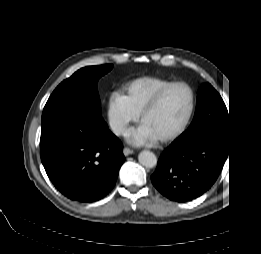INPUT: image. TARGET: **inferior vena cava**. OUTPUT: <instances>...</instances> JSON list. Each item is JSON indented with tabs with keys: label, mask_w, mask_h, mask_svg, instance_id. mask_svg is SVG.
Returning a JSON list of instances; mask_svg holds the SVG:
<instances>
[{
	"label": "inferior vena cava",
	"mask_w": 261,
	"mask_h": 254,
	"mask_svg": "<svg viewBox=\"0 0 261 254\" xmlns=\"http://www.w3.org/2000/svg\"><path fill=\"white\" fill-rule=\"evenodd\" d=\"M109 124L115 135H122L127 130L126 124L121 120L112 118L109 120Z\"/></svg>",
	"instance_id": "1"
}]
</instances>
